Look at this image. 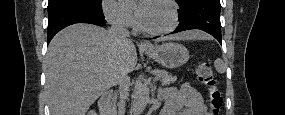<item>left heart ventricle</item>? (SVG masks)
Masks as SVG:
<instances>
[{"label":"left heart ventricle","mask_w":285,"mask_h":115,"mask_svg":"<svg viewBox=\"0 0 285 115\" xmlns=\"http://www.w3.org/2000/svg\"><path fill=\"white\" fill-rule=\"evenodd\" d=\"M142 25L149 30H162L172 24L170 7L161 1L148 2L145 4V17Z\"/></svg>","instance_id":"1"}]
</instances>
